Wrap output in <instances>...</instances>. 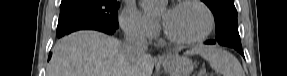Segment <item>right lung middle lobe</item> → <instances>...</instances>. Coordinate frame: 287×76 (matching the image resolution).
Here are the masks:
<instances>
[{
	"label": "right lung middle lobe",
	"instance_id": "obj_1",
	"mask_svg": "<svg viewBox=\"0 0 287 76\" xmlns=\"http://www.w3.org/2000/svg\"><path fill=\"white\" fill-rule=\"evenodd\" d=\"M119 5L116 0H62L56 35L95 26L118 28Z\"/></svg>",
	"mask_w": 287,
	"mask_h": 76
}]
</instances>
